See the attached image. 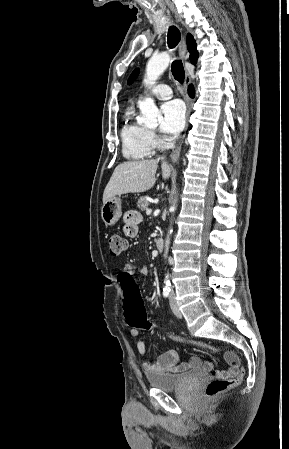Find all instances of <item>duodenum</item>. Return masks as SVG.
Instances as JSON below:
<instances>
[{"label":"duodenum","mask_w":289,"mask_h":449,"mask_svg":"<svg viewBox=\"0 0 289 449\" xmlns=\"http://www.w3.org/2000/svg\"><path fill=\"white\" fill-rule=\"evenodd\" d=\"M155 244H156L157 249H158L160 252H162L163 249H164V240H163L162 238L158 237V238H156V240H155Z\"/></svg>","instance_id":"duodenum-1"}]
</instances>
